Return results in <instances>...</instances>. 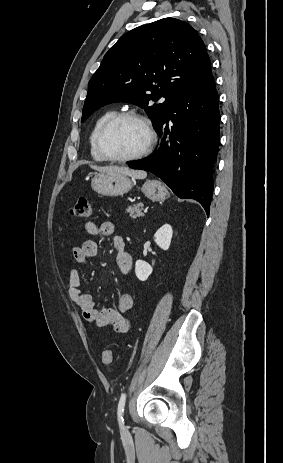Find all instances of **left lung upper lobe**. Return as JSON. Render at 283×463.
<instances>
[{"mask_svg":"<svg viewBox=\"0 0 283 463\" xmlns=\"http://www.w3.org/2000/svg\"><path fill=\"white\" fill-rule=\"evenodd\" d=\"M209 73L205 45L188 23L164 18L137 27L104 55L88 83L81 121L103 105L129 101L145 109L156 130L174 101Z\"/></svg>","mask_w":283,"mask_h":463,"instance_id":"5c2ea615","label":"left lung upper lobe"}]
</instances>
